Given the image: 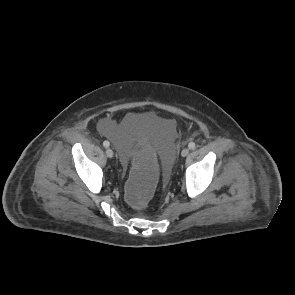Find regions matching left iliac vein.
I'll return each mask as SVG.
<instances>
[{"label": "left iliac vein", "mask_w": 295, "mask_h": 295, "mask_svg": "<svg viewBox=\"0 0 295 295\" xmlns=\"http://www.w3.org/2000/svg\"><path fill=\"white\" fill-rule=\"evenodd\" d=\"M188 154H189V149H188V148H184V149L182 150V152H181V155H182L183 157H186Z\"/></svg>", "instance_id": "4c4485c4"}]
</instances>
